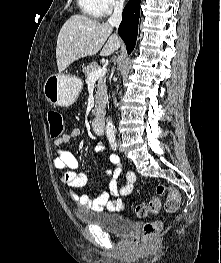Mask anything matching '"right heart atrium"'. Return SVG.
Here are the masks:
<instances>
[{
    "instance_id": "d8ad5b80",
    "label": "right heart atrium",
    "mask_w": 221,
    "mask_h": 263,
    "mask_svg": "<svg viewBox=\"0 0 221 263\" xmlns=\"http://www.w3.org/2000/svg\"><path fill=\"white\" fill-rule=\"evenodd\" d=\"M99 7L103 14H111L121 8L123 0H98Z\"/></svg>"
}]
</instances>
